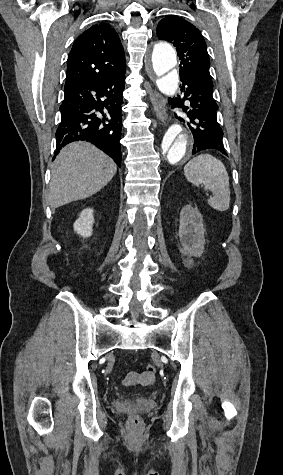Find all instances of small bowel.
Instances as JSON below:
<instances>
[{
	"label": "small bowel",
	"instance_id": "small-bowel-1",
	"mask_svg": "<svg viewBox=\"0 0 283 475\" xmlns=\"http://www.w3.org/2000/svg\"><path fill=\"white\" fill-rule=\"evenodd\" d=\"M123 377L125 378L123 380L124 385H130L132 383H139L143 385H149L153 383L154 379H151L149 382H141V381H136V382H129L126 380H142L144 378V373L142 371H128L127 373L123 374Z\"/></svg>",
	"mask_w": 283,
	"mask_h": 475
}]
</instances>
